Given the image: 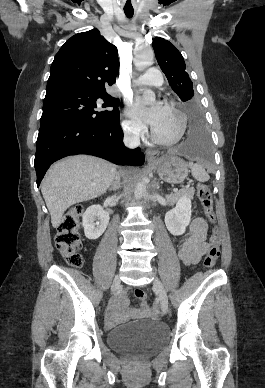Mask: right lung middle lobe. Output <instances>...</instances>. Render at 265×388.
Listing matches in <instances>:
<instances>
[{
  "instance_id": "obj_1",
  "label": "right lung middle lobe",
  "mask_w": 265,
  "mask_h": 388,
  "mask_svg": "<svg viewBox=\"0 0 265 388\" xmlns=\"http://www.w3.org/2000/svg\"><path fill=\"white\" fill-rule=\"evenodd\" d=\"M118 105L119 100L107 94L106 90L51 94L45 96L40 126L66 120L110 124L119 119ZM108 107L110 109H106Z\"/></svg>"
}]
</instances>
